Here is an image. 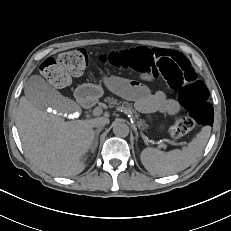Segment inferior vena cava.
I'll return each mask as SVG.
<instances>
[{
  "label": "inferior vena cava",
  "instance_id": "1",
  "mask_svg": "<svg viewBox=\"0 0 231 231\" xmlns=\"http://www.w3.org/2000/svg\"><path fill=\"white\" fill-rule=\"evenodd\" d=\"M105 124H106V121L102 118H99V119L94 120L93 126L99 129L105 126Z\"/></svg>",
  "mask_w": 231,
  "mask_h": 231
}]
</instances>
